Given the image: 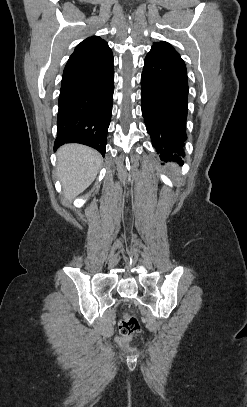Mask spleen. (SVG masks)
Masks as SVG:
<instances>
[{"label":"spleen","instance_id":"spleen-1","mask_svg":"<svg viewBox=\"0 0 247 407\" xmlns=\"http://www.w3.org/2000/svg\"><path fill=\"white\" fill-rule=\"evenodd\" d=\"M172 167H173V170H174L176 173L179 172V170L177 169L176 165H173Z\"/></svg>","mask_w":247,"mask_h":407}]
</instances>
